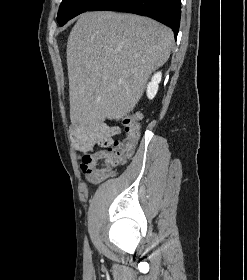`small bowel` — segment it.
Wrapping results in <instances>:
<instances>
[{
    "mask_svg": "<svg viewBox=\"0 0 247 280\" xmlns=\"http://www.w3.org/2000/svg\"><path fill=\"white\" fill-rule=\"evenodd\" d=\"M120 131L118 126L109 124L106 121L94 122L89 125L73 124L71 126V135L78 156L82 159V164L84 156L92 154L95 148L109 146L113 142L114 136L118 135ZM87 176L92 183L101 180V178L89 174Z\"/></svg>",
    "mask_w": 247,
    "mask_h": 280,
    "instance_id": "1",
    "label": "small bowel"
}]
</instances>
